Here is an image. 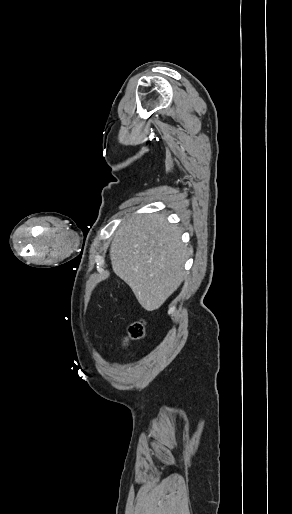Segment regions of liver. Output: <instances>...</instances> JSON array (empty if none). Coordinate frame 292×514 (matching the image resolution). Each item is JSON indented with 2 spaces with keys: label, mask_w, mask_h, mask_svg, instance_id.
<instances>
[{
  "label": "liver",
  "mask_w": 292,
  "mask_h": 514,
  "mask_svg": "<svg viewBox=\"0 0 292 514\" xmlns=\"http://www.w3.org/2000/svg\"><path fill=\"white\" fill-rule=\"evenodd\" d=\"M188 254L181 230L169 226L162 214L130 218L117 230L110 246L115 274L148 312L158 310L182 284Z\"/></svg>",
  "instance_id": "1"
}]
</instances>
